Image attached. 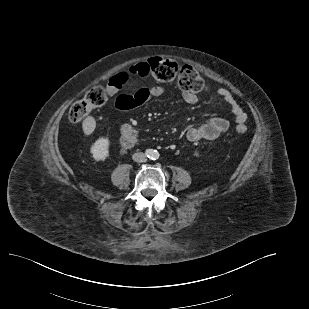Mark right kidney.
<instances>
[{"instance_id": "right-kidney-1", "label": "right kidney", "mask_w": 309, "mask_h": 309, "mask_svg": "<svg viewBox=\"0 0 309 309\" xmlns=\"http://www.w3.org/2000/svg\"><path fill=\"white\" fill-rule=\"evenodd\" d=\"M110 142L107 138H99L90 148V153L96 161H104L109 156Z\"/></svg>"}]
</instances>
